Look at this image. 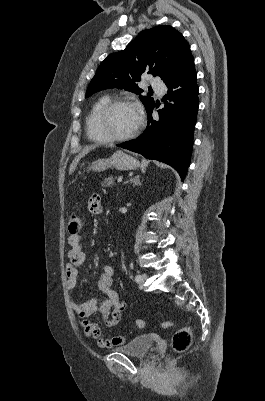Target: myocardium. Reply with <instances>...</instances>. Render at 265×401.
<instances>
[{
	"mask_svg": "<svg viewBox=\"0 0 265 401\" xmlns=\"http://www.w3.org/2000/svg\"><path fill=\"white\" fill-rule=\"evenodd\" d=\"M121 105H131L134 106V104L128 100V99H114V100H110L109 102H107L97 113L95 119H94V130L95 132L99 135L100 139L103 142H117V141H125L128 140L130 138H132L133 136H135L141 125L143 124L144 121V114L142 112H140V115L138 116V121L136 126L134 127V129L132 131H130L129 133L125 134V135H121V136H109L105 133L104 129H103V121L104 118L117 106H121Z\"/></svg>",
	"mask_w": 265,
	"mask_h": 401,
	"instance_id": "f54148a6",
	"label": "myocardium"
}]
</instances>
